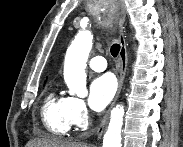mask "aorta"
<instances>
[{
	"label": "aorta",
	"instance_id": "762f6f07",
	"mask_svg": "<svg viewBox=\"0 0 183 147\" xmlns=\"http://www.w3.org/2000/svg\"><path fill=\"white\" fill-rule=\"evenodd\" d=\"M92 40L93 35L90 31H79L65 56V83L71 95H77L81 98L88 95L85 67L92 48ZM123 117V106L117 105L111 110L109 126L103 138V147H121Z\"/></svg>",
	"mask_w": 183,
	"mask_h": 147
}]
</instances>
